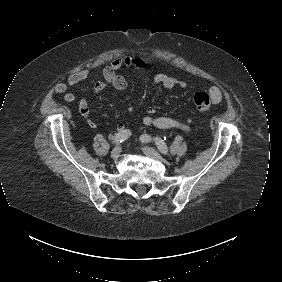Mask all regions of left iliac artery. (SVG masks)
Listing matches in <instances>:
<instances>
[{
	"instance_id": "44dca946",
	"label": "left iliac artery",
	"mask_w": 282,
	"mask_h": 282,
	"mask_svg": "<svg viewBox=\"0 0 282 282\" xmlns=\"http://www.w3.org/2000/svg\"><path fill=\"white\" fill-rule=\"evenodd\" d=\"M140 140L143 143H148V142L154 141L158 150L162 154L168 153V147H167L166 143L159 137L152 138L151 136H149L147 134H143V135L140 136Z\"/></svg>"
}]
</instances>
